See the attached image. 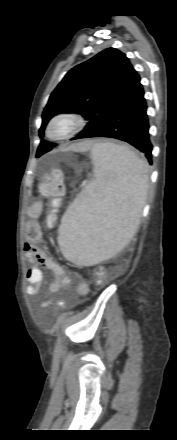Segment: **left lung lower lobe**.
Segmentation results:
<instances>
[{
  "mask_svg": "<svg viewBox=\"0 0 177 440\" xmlns=\"http://www.w3.org/2000/svg\"><path fill=\"white\" fill-rule=\"evenodd\" d=\"M91 137H108L125 141L140 150L152 165L147 105L141 83L102 126L83 138Z\"/></svg>",
  "mask_w": 177,
  "mask_h": 440,
  "instance_id": "obj_1",
  "label": "left lung lower lobe"
}]
</instances>
